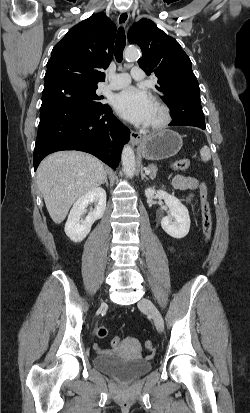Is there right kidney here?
Listing matches in <instances>:
<instances>
[{
  "mask_svg": "<svg viewBox=\"0 0 250 413\" xmlns=\"http://www.w3.org/2000/svg\"><path fill=\"white\" fill-rule=\"evenodd\" d=\"M95 203V209L81 218L86 207ZM106 209V192L103 188H94L85 193L73 204L65 224L66 235L74 242H81L90 232L92 224L102 218Z\"/></svg>",
  "mask_w": 250,
  "mask_h": 413,
  "instance_id": "ca27d5eb",
  "label": "right kidney"
}]
</instances>
